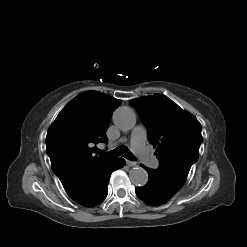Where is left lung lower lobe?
Returning a JSON list of instances; mask_svg holds the SVG:
<instances>
[{
    "label": "left lung lower lobe",
    "instance_id": "obj_1",
    "mask_svg": "<svg viewBox=\"0 0 247 247\" xmlns=\"http://www.w3.org/2000/svg\"><path fill=\"white\" fill-rule=\"evenodd\" d=\"M143 167L149 175V181L145 186L136 188L135 192L138 198L146 204L161 205L173 197L182 187L164 171Z\"/></svg>",
    "mask_w": 247,
    "mask_h": 247
}]
</instances>
